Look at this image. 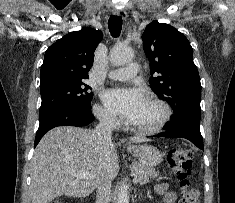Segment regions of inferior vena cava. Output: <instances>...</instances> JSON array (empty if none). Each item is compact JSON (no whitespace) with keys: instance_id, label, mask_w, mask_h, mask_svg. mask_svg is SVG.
<instances>
[{"instance_id":"1","label":"inferior vena cava","mask_w":235,"mask_h":203,"mask_svg":"<svg viewBox=\"0 0 235 203\" xmlns=\"http://www.w3.org/2000/svg\"><path fill=\"white\" fill-rule=\"evenodd\" d=\"M115 118L109 114H101L99 116V124L96 127V135L103 141H110L112 130L114 128ZM111 193V180L103 179L98 187L96 194V203H108Z\"/></svg>"}]
</instances>
